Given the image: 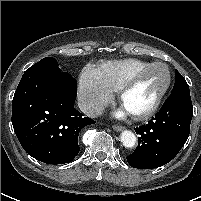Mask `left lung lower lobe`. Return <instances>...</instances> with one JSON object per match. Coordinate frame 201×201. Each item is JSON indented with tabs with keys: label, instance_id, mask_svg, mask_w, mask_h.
Wrapping results in <instances>:
<instances>
[{
	"label": "left lung lower lobe",
	"instance_id": "0a47b994",
	"mask_svg": "<svg viewBox=\"0 0 201 201\" xmlns=\"http://www.w3.org/2000/svg\"><path fill=\"white\" fill-rule=\"evenodd\" d=\"M192 117L190 90L171 94L148 124L134 129L140 137L127 157L130 166L153 169L170 162L187 141Z\"/></svg>",
	"mask_w": 201,
	"mask_h": 201
}]
</instances>
